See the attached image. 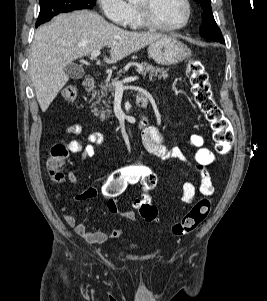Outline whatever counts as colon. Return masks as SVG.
Wrapping results in <instances>:
<instances>
[{
  "label": "colon",
  "mask_w": 267,
  "mask_h": 301,
  "mask_svg": "<svg viewBox=\"0 0 267 301\" xmlns=\"http://www.w3.org/2000/svg\"><path fill=\"white\" fill-rule=\"evenodd\" d=\"M185 73L189 78L194 100L211 127L216 152L222 155L227 154L234 140L232 125L213 98L209 76L204 65L200 60L190 58L185 65ZM61 95L66 101H74L77 97V88L67 85L62 89ZM66 158L67 149L63 144L57 143L50 148L46 157V170L52 181L64 180L62 166ZM156 181V175L149 167L139 163L127 164L113 171L101 185L100 196L110 211L132 186L140 184L143 192L135 201L134 206L144 220L156 222L158 210L149 195ZM210 209V201L205 198L200 199L179 222L172 226V233L176 236L191 233L204 222Z\"/></svg>",
  "instance_id": "1"
}]
</instances>
